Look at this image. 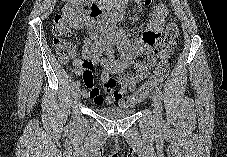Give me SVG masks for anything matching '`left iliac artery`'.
Instances as JSON below:
<instances>
[{"label":"left iliac artery","instance_id":"44dca946","mask_svg":"<svg viewBox=\"0 0 227 157\" xmlns=\"http://www.w3.org/2000/svg\"><path fill=\"white\" fill-rule=\"evenodd\" d=\"M155 93L157 94V96L159 97V99H163V93L160 87H157L155 90Z\"/></svg>","mask_w":227,"mask_h":157}]
</instances>
